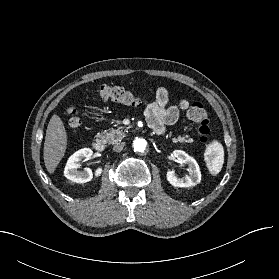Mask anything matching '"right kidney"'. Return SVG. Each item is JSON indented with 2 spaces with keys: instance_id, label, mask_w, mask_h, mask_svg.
<instances>
[{
  "instance_id": "right-kidney-1",
  "label": "right kidney",
  "mask_w": 279,
  "mask_h": 279,
  "mask_svg": "<svg viewBox=\"0 0 279 279\" xmlns=\"http://www.w3.org/2000/svg\"><path fill=\"white\" fill-rule=\"evenodd\" d=\"M93 151L90 148H83L72 154L65 166L64 176L75 183H86L92 180L93 176L99 177L102 174V168L99 167L93 173L90 168H85L83 171L77 170L80 167V162L84 159H91Z\"/></svg>"
}]
</instances>
